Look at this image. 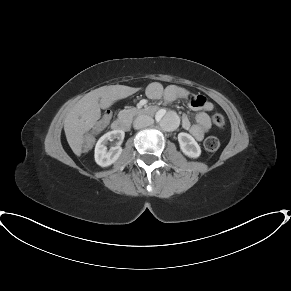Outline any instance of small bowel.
<instances>
[{"instance_id":"c3829d8e","label":"small bowel","mask_w":291,"mask_h":291,"mask_svg":"<svg viewBox=\"0 0 291 291\" xmlns=\"http://www.w3.org/2000/svg\"><path fill=\"white\" fill-rule=\"evenodd\" d=\"M146 95L151 100L164 98L167 102L183 99L187 101L192 108L199 110L195 116L194 124L190 122L187 116H183L181 120L182 127L188 130L197 140L203 139L211 128L209 113L213 110L214 105L204 96L196 95L187 88L179 85H170L164 88L159 82L151 83L146 89Z\"/></svg>"}]
</instances>
